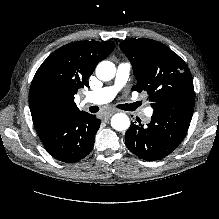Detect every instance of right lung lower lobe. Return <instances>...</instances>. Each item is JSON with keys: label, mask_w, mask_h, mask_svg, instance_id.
<instances>
[{"label": "right lung lower lobe", "mask_w": 219, "mask_h": 219, "mask_svg": "<svg viewBox=\"0 0 219 219\" xmlns=\"http://www.w3.org/2000/svg\"><path fill=\"white\" fill-rule=\"evenodd\" d=\"M34 124L47 151L59 161L73 163L91 152L101 121L79 111L43 117Z\"/></svg>", "instance_id": "obj_1"}]
</instances>
